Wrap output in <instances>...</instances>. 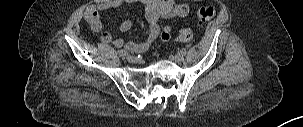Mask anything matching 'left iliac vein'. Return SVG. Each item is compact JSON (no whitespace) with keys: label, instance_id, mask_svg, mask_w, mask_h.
<instances>
[{"label":"left iliac vein","instance_id":"1","mask_svg":"<svg viewBox=\"0 0 303 127\" xmlns=\"http://www.w3.org/2000/svg\"><path fill=\"white\" fill-rule=\"evenodd\" d=\"M172 60H174L175 62H182V61H184V58H183V56L177 54L172 57Z\"/></svg>","mask_w":303,"mask_h":127}]
</instances>
